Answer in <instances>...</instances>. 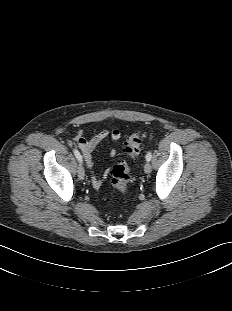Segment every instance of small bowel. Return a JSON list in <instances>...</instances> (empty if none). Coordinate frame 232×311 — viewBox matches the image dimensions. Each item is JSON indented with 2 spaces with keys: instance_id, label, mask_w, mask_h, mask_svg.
I'll return each instance as SVG.
<instances>
[{
  "instance_id": "small-bowel-1",
  "label": "small bowel",
  "mask_w": 232,
  "mask_h": 311,
  "mask_svg": "<svg viewBox=\"0 0 232 311\" xmlns=\"http://www.w3.org/2000/svg\"><path fill=\"white\" fill-rule=\"evenodd\" d=\"M82 130H78L73 137V141L75 145L82 151L87 167L91 170V180L95 187H100L102 184V180L98 179L92 169L93 162L91 153L95 150V148L108 136H110L112 141H118L121 137V131L119 129H113L112 131L108 129H103L96 133L92 138L86 140L82 136ZM116 155V150L112 149L110 151V156L114 157ZM106 174H104V177Z\"/></svg>"
}]
</instances>
